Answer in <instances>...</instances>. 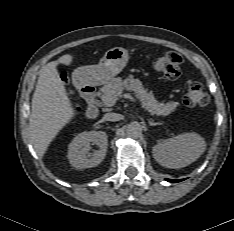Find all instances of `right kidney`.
I'll return each instance as SVG.
<instances>
[{
	"mask_svg": "<svg viewBox=\"0 0 234 231\" xmlns=\"http://www.w3.org/2000/svg\"><path fill=\"white\" fill-rule=\"evenodd\" d=\"M96 144L99 150L89 154L90 144ZM108 136L103 131H90L78 134L70 143L68 159L76 168H91L102 162L106 156Z\"/></svg>",
	"mask_w": 234,
	"mask_h": 231,
	"instance_id": "obj_1",
	"label": "right kidney"
}]
</instances>
